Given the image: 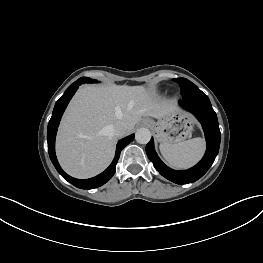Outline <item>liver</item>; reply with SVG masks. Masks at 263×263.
Segmentation results:
<instances>
[{"instance_id": "6515ba94", "label": "liver", "mask_w": 263, "mask_h": 263, "mask_svg": "<svg viewBox=\"0 0 263 263\" xmlns=\"http://www.w3.org/2000/svg\"><path fill=\"white\" fill-rule=\"evenodd\" d=\"M177 111L175 100H159L143 86H84L61 121L58 160L75 178L93 177L107 168L114 156L116 136L108 126L123 122L129 134L143 116L159 120Z\"/></svg>"}]
</instances>
